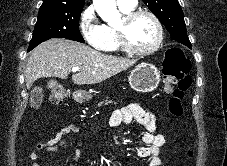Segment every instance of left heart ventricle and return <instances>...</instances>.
Here are the masks:
<instances>
[{
    "instance_id": "left-heart-ventricle-1",
    "label": "left heart ventricle",
    "mask_w": 227,
    "mask_h": 166,
    "mask_svg": "<svg viewBox=\"0 0 227 166\" xmlns=\"http://www.w3.org/2000/svg\"><path fill=\"white\" fill-rule=\"evenodd\" d=\"M125 34L132 46L145 49L155 41L156 28L148 16H140L127 25Z\"/></svg>"
}]
</instances>
